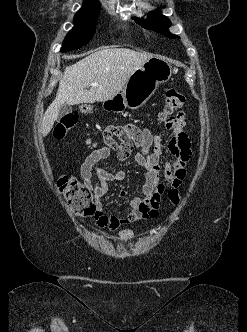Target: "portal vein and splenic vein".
Masks as SVG:
<instances>
[{
  "label": "portal vein and splenic vein",
  "instance_id": "18ae733b",
  "mask_svg": "<svg viewBox=\"0 0 247 332\" xmlns=\"http://www.w3.org/2000/svg\"><path fill=\"white\" fill-rule=\"evenodd\" d=\"M90 86H98V83H89Z\"/></svg>",
  "mask_w": 247,
  "mask_h": 332
}]
</instances>
